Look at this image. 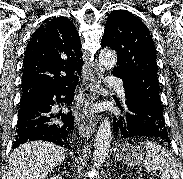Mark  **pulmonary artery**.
Segmentation results:
<instances>
[{
  "instance_id": "obj_1",
  "label": "pulmonary artery",
  "mask_w": 183,
  "mask_h": 179,
  "mask_svg": "<svg viewBox=\"0 0 183 179\" xmlns=\"http://www.w3.org/2000/svg\"><path fill=\"white\" fill-rule=\"evenodd\" d=\"M108 84L111 86V87H114L116 88V90L118 91L120 97L124 98L125 97V93H124V87L122 85V82L120 79L116 78V77H110L108 79Z\"/></svg>"
}]
</instances>
